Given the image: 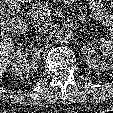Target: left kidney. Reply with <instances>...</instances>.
I'll return each mask as SVG.
<instances>
[{
    "label": "left kidney",
    "mask_w": 113,
    "mask_h": 113,
    "mask_svg": "<svg viewBox=\"0 0 113 113\" xmlns=\"http://www.w3.org/2000/svg\"><path fill=\"white\" fill-rule=\"evenodd\" d=\"M100 50L105 57L104 60H96L92 57L94 53L95 44L88 43L82 47L83 60L89 68L104 71L113 69V41L108 39H101L99 42Z\"/></svg>",
    "instance_id": "5707ae66"
}]
</instances>
